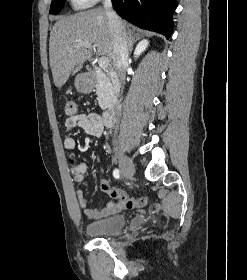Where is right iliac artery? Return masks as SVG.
<instances>
[{"label": "right iliac artery", "mask_w": 247, "mask_h": 280, "mask_svg": "<svg viewBox=\"0 0 247 280\" xmlns=\"http://www.w3.org/2000/svg\"><path fill=\"white\" fill-rule=\"evenodd\" d=\"M113 176H114L116 179H118V178L120 177V171H119L118 169H115V170L113 171Z\"/></svg>", "instance_id": "obj_1"}]
</instances>
